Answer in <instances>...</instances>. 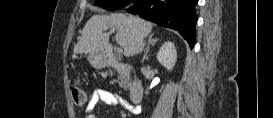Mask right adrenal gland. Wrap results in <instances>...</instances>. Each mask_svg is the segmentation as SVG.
<instances>
[{
    "label": "right adrenal gland",
    "instance_id": "1",
    "mask_svg": "<svg viewBox=\"0 0 273 118\" xmlns=\"http://www.w3.org/2000/svg\"><path fill=\"white\" fill-rule=\"evenodd\" d=\"M153 35H154V33L150 34V36H149L146 52L144 54V57H143L142 61H144L145 59H148L147 55H148V52H149V49H150V45L153 46L158 41V39H153Z\"/></svg>",
    "mask_w": 273,
    "mask_h": 118
}]
</instances>
